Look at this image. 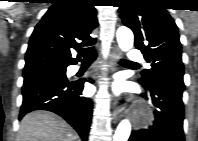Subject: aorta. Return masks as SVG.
Segmentation results:
<instances>
[{
	"mask_svg": "<svg viewBox=\"0 0 198 141\" xmlns=\"http://www.w3.org/2000/svg\"><path fill=\"white\" fill-rule=\"evenodd\" d=\"M119 48L122 51H128L133 47L134 36L127 27H120L116 33ZM131 134V124L128 119L122 120L116 128L113 141H127Z\"/></svg>",
	"mask_w": 198,
	"mask_h": 141,
	"instance_id": "aorta-1",
	"label": "aorta"
}]
</instances>
